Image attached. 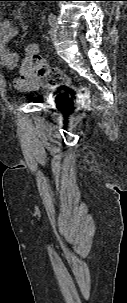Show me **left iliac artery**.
Masks as SVG:
<instances>
[{"label": "left iliac artery", "mask_w": 127, "mask_h": 303, "mask_svg": "<svg viewBox=\"0 0 127 303\" xmlns=\"http://www.w3.org/2000/svg\"><path fill=\"white\" fill-rule=\"evenodd\" d=\"M48 22H49L50 25H53L56 22V16L53 13L49 14Z\"/></svg>", "instance_id": "left-iliac-artery-1"}]
</instances>
